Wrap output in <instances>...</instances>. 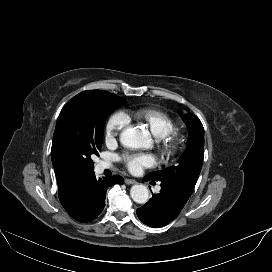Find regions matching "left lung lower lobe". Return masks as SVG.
Masks as SVG:
<instances>
[{
    "mask_svg": "<svg viewBox=\"0 0 272 272\" xmlns=\"http://www.w3.org/2000/svg\"><path fill=\"white\" fill-rule=\"evenodd\" d=\"M146 180H149L145 177ZM161 191L137 209L138 218L150 227H162L172 221L182 210L191 195L180 188L161 182Z\"/></svg>",
    "mask_w": 272,
    "mask_h": 272,
    "instance_id": "0a47b994",
    "label": "left lung lower lobe"
}]
</instances>
